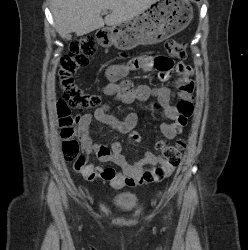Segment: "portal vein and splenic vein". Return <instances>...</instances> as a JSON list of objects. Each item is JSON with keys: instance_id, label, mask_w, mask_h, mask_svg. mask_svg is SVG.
Returning <instances> with one entry per match:
<instances>
[{"instance_id": "portal-vein-and-splenic-vein-1", "label": "portal vein and splenic vein", "mask_w": 248, "mask_h": 250, "mask_svg": "<svg viewBox=\"0 0 248 250\" xmlns=\"http://www.w3.org/2000/svg\"><path fill=\"white\" fill-rule=\"evenodd\" d=\"M108 13V11H103L102 14L103 15H106Z\"/></svg>"}]
</instances>
